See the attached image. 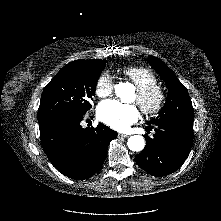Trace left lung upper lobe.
<instances>
[{
	"instance_id": "left-lung-upper-lobe-1",
	"label": "left lung upper lobe",
	"mask_w": 221,
	"mask_h": 221,
	"mask_svg": "<svg viewBox=\"0 0 221 221\" xmlns=\"http://www.w3.org/2000/svg\"><path fill=\"white\" fill-rule=\"evenodd\" d=\"M147 61L163 78L168 89L166 102L159 111V115L151 119L148 124H157L169 120L193 122V107L185 86L159 58L149 56Z\"/></svg>"
}]
</instances>
